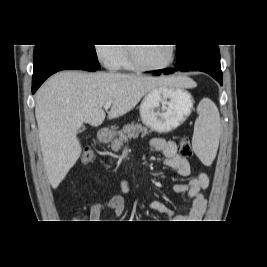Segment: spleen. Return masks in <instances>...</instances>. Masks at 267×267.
<instances>
[{
	"label": "spleen",
	"mask_w": 267,
	"mask_h": 267,
	"mask_svg": "<svg viewBox=\"0 0 267 267\" xmlns=\"http://www.w3.org/2000/svg\"><path fill=\"white\" fill-rule=\"evenodd\" d=\"M198 111L199 118L195 123L192 145L200 160L210 165L219 145L220 115L212 103H201Z\"/></svg>",
	"instance_id": "obj_1"
}]
</instances>
